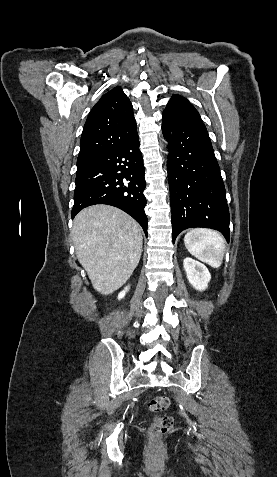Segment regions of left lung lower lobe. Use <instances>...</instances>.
Here are the masks:
<instances>
[{
	"label": "left lung lower lobe",
	"instance_id": "obj_1",
	"mask_svg": "<svg viewBox=\"0 0 277 477\" xmlns=\"http://www.w3.org/2000/svg\"><path fill=\"white\" fill-rule=\"evenodd\" d=\"M169 142L173 243L177 235L192 227L220 231L229 242V209L224 183L205 126L162 124Z\"/></svg>",
	"mask_w": 277,
	"mask_h": 477
}]
</instances>
